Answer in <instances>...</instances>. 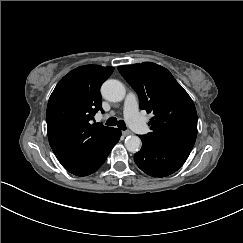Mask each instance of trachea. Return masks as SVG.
Wrapping results in <instances>:
<instances>
[{
    "instance_id": "obj_1",
    "label": "trachea",
    "mask_w": 243,
    "mask_h": 243,
    "mask_svg": "<svg viewBox=\"0 0 243 243\" xmlns=\"http://www.w3.org/2000/svg\"><path fill=\"white\" fill-rule=\"evenodd\" d=\"M105 125H108V126H115L117 125L121 130H126V125H125V122L123 120H117V118L115 117H110Z\"/></svg>"
}]
</instances>
